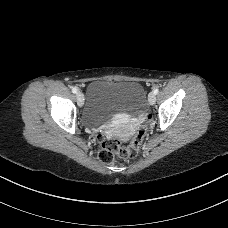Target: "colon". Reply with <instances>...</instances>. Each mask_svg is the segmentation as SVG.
<instances>
[{
    "mask_svg": "<svg viewBox=\"0 0 228 228\" xmlns=\"http://www.w3.org/2000/svg\"><path fill=\"white\" fill-rule=\"evenodd\" d=\"M149 119V118H148ZM147 131V125L143 126L137 132L128 146H123L114 138L105 139L102 142L101 150L99 151V159L105 164H110L116 159L129 160L137 156L144 135Z\"/></svg>",
    "mask_w": 228,
    "mask_h": 228,
    "instance_id": "obj_1",
    "label": "colon"
}]
</instances>
